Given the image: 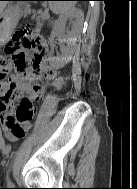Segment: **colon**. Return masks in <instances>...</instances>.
Here are the masks:
<instances>
[{
  "instance_id": "colon-1",
  "label": "colon",
  "mask_w": 137,
  "mask_h": 189,
  "mask_svg": "<svg viewBox=\"0 0 137 189\" xmlns=\"http://www.w3.org/2000/svg\"><path fill=\"white\" fill-rule=\"evenodd\" d=\"M25 50L32 52L29 60L24 54ZM46 52V42L40 35L29 32L25 27L17 30L6 46L7 56H0V93L2 94L4 86L9 83L13 68L20 73H26L31 78L38 77L41 73L45 77L50 76L52 74L50 67H46L43 71L40 69ZM35 113L36 108L24 99L17 107L16 117L22 119Z\"/></svg>"
}]
</instances>
